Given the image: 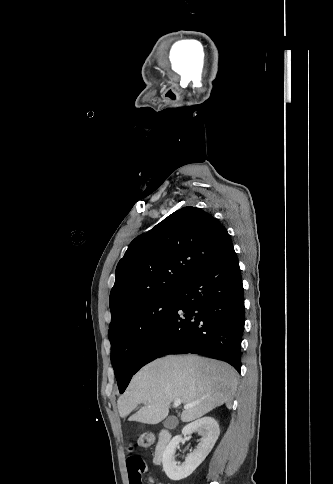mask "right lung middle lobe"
Returning <instances> with one entry per match:
<instances>
[{"label":"right lung middle lobe","instance_id":"right-lung-middle-lobe-1","mask_svg":"<svg viewBox=\"0 0 333 484\" xmlns=\"http://www.w3.org/2000/svg\"><path fill=\"white\" fill-rule=\"evenodd\" d=\"M178 294L174 291L149 299L109 325L111 362L120 393L128 386L143 347L174 310Z\"/></svg>","mask_w":333,"mask_h":484}]
</instances>
